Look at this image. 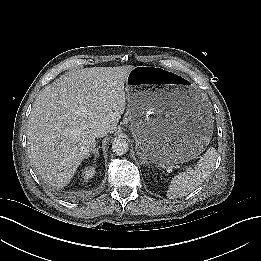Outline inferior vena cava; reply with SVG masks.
<instances>
[{"label": "inferior vena cava", "mask_w": 261, "mask_h": 261, "mask_svg": "<svg viewBox=\"0 0 261 261\" xmlns=\"http://www.w3.org/2000/svg\"><path fill=\"white\" fill-rule=\"evenodd\" d=\"M96 137H103L108 133L107 127L104 124H97L92 129Z\"/></svg>", "instance_id": "602c4592"}]
</instances>
